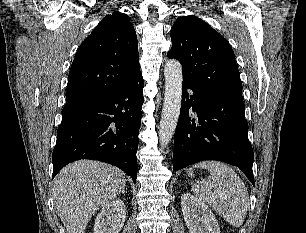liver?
I'll list each match as a JSON object with an SVG mask.
<instances>
[{
	"mask_svg": "<svg viewBox=\"0 0 306 233\" xmlns=\"http://www.w3.org/2000/svg\"><path fill=\"white\" fill-rule=\"evenodd\" d=\"M125 174L106 163L80 160L57 175L53 198L67 233H85L92 216L125 190Z\"/></svg>",
	"mask_w": 306,
	"mask_h": 233,
	"instance_id": "liver-1",
	"label": "liver"
}]
</instances>
